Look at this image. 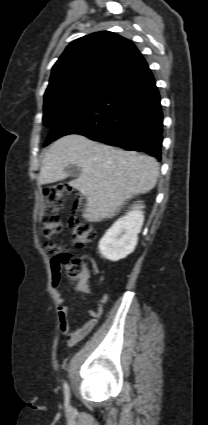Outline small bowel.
I'll return each instance as SVG.
<instances>
[{
    "mask_svg": "<svg viewBox=\"0 0 208 425\" xmlns=\"http://www.w3.org/2000/svg\"><path fill=\"white\" fill-rule=\"evenodd\" d=\"M88 276L89 275H86L85 279L82 281L81 289L85 293L91 294V289L87 284ZM59 281L60 273L52 269V291L57 303L59 329L61 333L65 336L67 343L70 346H73L93 331L99 318L102 316L103 305L108 301V295L103 294L101 296L98 301L97 308L93 311H90V317L85 323H83L77 328H73L70 324L68 317V306L64 303V300L59 290Z\"/></svg>",
    "mask_w": 208,
    "mask_h": 425,
    "instance_id": "1",
    "label": "small bowel"
}]
</instances>
